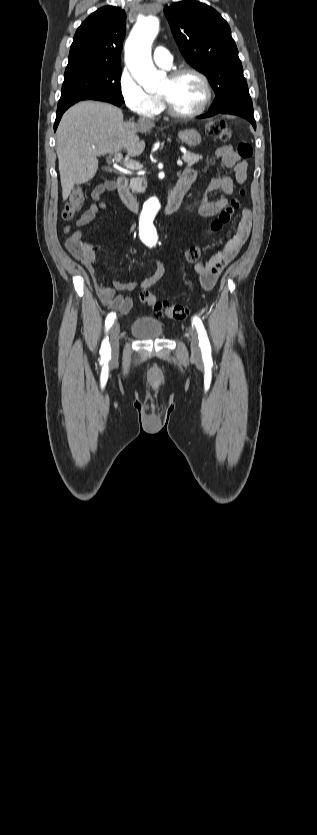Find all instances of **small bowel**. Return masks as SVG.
I'll list each match as a JSON object with an SVG mask.
<instances>
[{"instance_id":"1","label":"small bowel","mask_w":317,"mask_h":835,"mask_svg":"<svg viewBox=\"0 0 317 835\" xmlns=\"http://www.w3.org/2000/svg\"><path fill=\"white\" fill-rule=\"evenodd\" d=\"M215 158L220 160L224 167L230 169L232 175H225L211 179L201 197L197 209L199 215L202 217H213L228 205L229 200L227 197L211 200L210 195L221 192L226 196H231L236 192L238 186L245 182L247 177L248 164L246 161H241L239 159V156L236 154L231 145L219 147L215 152ZM198 175V171L195 168H187L184 170L180 180L186 184L189 189V187L196 183ZM108 182L102 183L93 189L91 192L93 203L77 220V230L67 240L66 244L67 248L88 270L94 288L102 304L121 314H127L133 307V299L129 295L121 294L120 292L132 291L138 288L141 290L149 289L162 278L164 274V267L159 262L156 270L149 277L130 282L110 280L109 284L106 285L101 281L97 272L95 250L91 248L90 250L80 254L74 249V243L80 241L84 228L94 222L100 210L107 209V204L101 199L104 193L113 191L110 189L111 187ZM251 224V214L248 210H244L236 233L227 242L225 247L213 254L206 261H200L194 264V270L199 275L200 283L204 289L209 290L214 286L217 278L225 267L239 253L242 246L248 239Z\"/></svg>"}]
</instances>
